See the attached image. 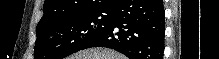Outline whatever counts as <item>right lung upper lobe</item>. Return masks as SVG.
<instances>
[{
    "label": "right lung upper lobe",
    "mask_w": 219,
    "mask_h": 59,
    "mask_svg": "<svg viewBox=\"0 0 219 59\" xmlns=\"http://www.w3.org/2000/svg\"><path fill=\"white\" fill-rule=\"evenodd\" d=\"M117 0H45L38 26L65 17L112 10Z\"/></svg>",
    "instance_id": "cb5924a9"
}]
</instances>
